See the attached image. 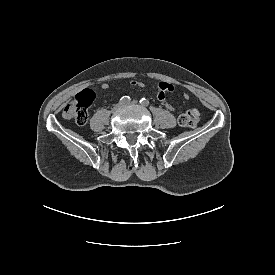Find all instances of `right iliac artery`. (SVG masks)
<instances>
[{
	"mask_svg": "<svg viewBox=\"0 0 275 275\" xmlns=\"http://www.w3.org/2000/svg\"><path fill=\"white\" fill-rule=\"evenodd\" d=\"M130 97L129 96H123V97H121V99H120V103L121 104H127V103H129L130 102Z\"/></svg>",
	"mask_w": 275,
	"mask_h": 275,
	"instance_id": "right-iliac-artery-1",
	"label": "right iliac artery"
}]
</instances>
